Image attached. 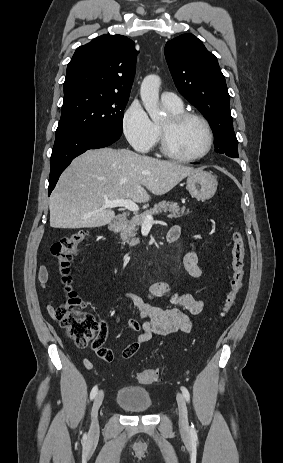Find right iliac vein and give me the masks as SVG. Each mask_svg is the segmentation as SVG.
Returning a JSON list of instances; mask_svg holds the SVG:
<instances>
[{
	"label": "right iliac vein",
	"mask_w": 283,
	"mask_h": 463,
	"mask_svg": "<svg viewBox=\"0 0 283 463\" xmlns=\"http://www.w3.org/2000/svg\"><path fill=\"white\" fill-rule=\"evenodd\" d=\"M104 399V392L100 390L93 402V407H92V412H91V424H90V429H89V435L92 438H96L99 435V424H98V419H97V413L102 405Z\"/></svg>",
	"instance_id": "right-iliac-vein-1"
}]
</instances>
